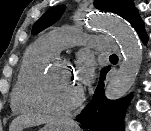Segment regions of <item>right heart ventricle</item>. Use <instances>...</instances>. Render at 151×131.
Masks as SVG:
<instances>
[{
  "instance_id": "e07e8e85",
  "label": "right heart ventricle",
  "mask_w": 151,
  "mask_h": 131,
  "mask_svg": "<svg viewBox=\"0 0 151 131\" xmlns=\"http://www.w3.org/2000/svg\"><path fill=\"white\" fill-rule=\"evenodd\" d=\"M56 52L45 38L37 40L27 48L10 95V105L13 112L20 114L36 109L27 94L29 78L40 63Z\"/></svg>"
}]
</instances>
